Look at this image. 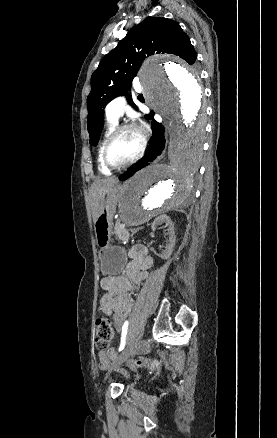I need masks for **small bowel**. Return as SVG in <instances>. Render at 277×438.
Instances as JSON below:
<instances>
[{
  "instance_id": "c3829d8e",
  "label": "small bowel",
  "mask_w": 277,
  "mask_h": 438,
  "mask_svg": "<svg viewBox=\"0 0 277 438\" xmlns=\"http://www.w3.org/2000/svg\"><path fill=\"white\" fill-rule=\"evenodd\" d=\"M130 261L121 275H106L100 281L101 288L105 291L100 299V310L112 316L116 330L120 332L125 319L133 308L131 293L148 277V269L153 265V259L148 254L147 248L135 245L129 251ZM116 351L111 348L100 351L98 366L102 370L110 368L111 354ZM119 371V370H117ZM121 373L124 371L120 370Z\"/></svg>"
}]
</instances>
